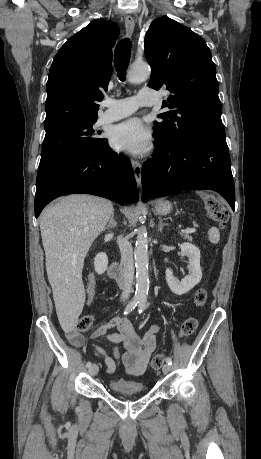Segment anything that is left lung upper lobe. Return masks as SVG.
<instances>
[{"label": "left lung upper lobe", "instance_id": "obj_1", "mask_svg": "<svg viewBox=\"0 0 261 459\" xmlns=\"http://www.w3.org/2000/svg\"><path fill=\"white\" fill-rule=\"evenodd\" d=\"M145 56L152 73L148 86L170 95L154 122V134L172 144L198 136L225 134L216 67L206 42L189 28L163 16L145 35Z\"/></svg>", "mask_w": 261, "mask_h": 459}]
</instances>
